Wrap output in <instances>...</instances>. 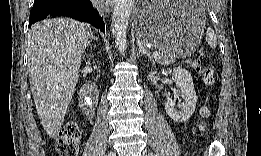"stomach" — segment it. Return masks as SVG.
Returning a JSON list of instances; mask_svg holds the SVG:
<instances>
[{
	"mask_svg": "<svg viewBox=\"0 0 261 156\" xmlns=\"http://www.w3.org/2000/svg\"><path fill=\"white\" fill-rule=\"evenodd\" d=\"M134 23L137 34L146 43L185 58L201 42L205 12L198 2L144 1L134 10Z\"/></svg>",
	"mask_w": 261,
	"mask_h": 156,
	"instance_id": "1",
	"label": "stomach"
}]
</instances>
